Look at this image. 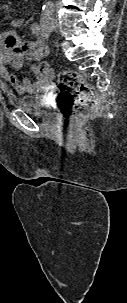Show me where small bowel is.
<instances>
[{
	"label": "small bowel",
	"instance_id": "obj_1",
	"mask_svg": "<svg viewBox=\"0 0 127 303\" xmlns=\"http://www.w3.org/2000/svg\"><path fill=\"white\" fill-rule=\"evenodd\" d=\"M21 19L11 21L12 30L0 34V77L10 84L18 94L32 93L50 88L52 71L44 73L33 68L36 80L29 78L19 80L16 71L21 70L30 62L45 59L49 55V49L45 43L42 24L33 23L30 27L34 36L33 40H23L16 28L21 27ZM14 39L15 42H10Z\"/></svg>",
	"mask_w": 127,
	"mask_h": 303
}]
</instances>
